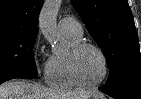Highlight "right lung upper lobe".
<instances>
[{
  "mask_svg": "<svg viewBox=\"0 0 141 99\" xmlns=\"http://www.w3.org/2000/svg\"><path fill=\"white\" fill-rule=\"evenodd\" d=\"M43 0H0V30L38 32Z\"/></svg>",
  "mask_w": 141,
  "mask_h": 99,
  "instance_id": "1",
  "label": "right lung upper lobe"
}]
</instances>
